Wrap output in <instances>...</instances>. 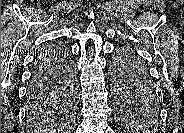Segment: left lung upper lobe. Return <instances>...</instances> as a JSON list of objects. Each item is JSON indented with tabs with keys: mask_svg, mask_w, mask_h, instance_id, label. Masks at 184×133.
<instances>
[{
	"mask_svg": "<svg viewBox=\"0 0 184 133\" xmlns=\"http://www.w3.org/2000/svg\"><path fill=\"white\" fill-rule=\"evenodd\" d=\"M112 78L116 88L118 108L124 118L142 124L151 123L159 116V108L146 65L130 51L124 50L112 61ZM142 82L153 92L140 95L135 84Z\"/></svg>",
	"mask_w": 184,
	"mask_h": 133,
	"instance_id": "left-lung-upper-lobe-1",
	"label": "left lung upper lobe"
}]
</instances>
